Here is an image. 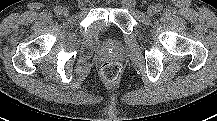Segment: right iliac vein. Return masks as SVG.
Returning <instances> with one entry per match:
<instances>
[{"instance_id": "obj_1", "label": "right iliac vein", "mask_w": 217, "mask_h": 121, "mask_svg": "<svg viewBox=\"0 0 217 121\" xmlns=\"http://www.w3.org/2000/svg\"><path fill=\"white\" fill-rule=\"evenodd\" d=\"M61 14L64 17H67L69 15V10L67 8H63V9H61Z\"/></svg>"}]
</instances>
